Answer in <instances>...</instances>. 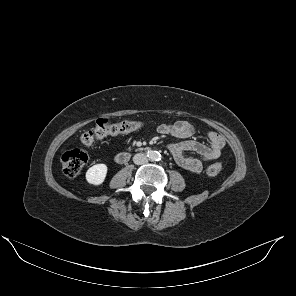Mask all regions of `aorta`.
<instances>
[{"instance_id":"obj_1","label":"aorta","mask_w":296,"mask_h":296,"mask_svg":"<svg viewBox=\"0 0 296 296\" xmlns=\"http://www.w3.org/2000/svg\"><path fill=\"white\" fill-rule=\"evenodd\" d=\"M150 159H151L152 161H158V160L161 159V154H160L158 151H152V152L150 153Z\"/></svg>"}]
</instances>
